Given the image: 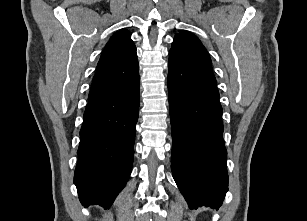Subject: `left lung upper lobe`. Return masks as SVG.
Here are the masks:
<instances>
[{"label":"left lung upper lobe","instance_id":"obj_1","mask_svg":"<svg viewBox=\"0 0 307 221\" xmlns=\"http://www.w3.org/2000/svg\"><path fill=\"white\" fill-rule=\"evenodd\" d=\"M170 53L180 58L205 78L216 83L208 52L194 35L180 31L174 37Z\"/></svg>","mask_w":307,"mask_h":221}]
</instances>
